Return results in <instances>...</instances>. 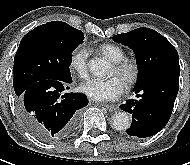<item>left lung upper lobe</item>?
Wrapping results in <instances>:
<instances>
[{
	"label": "left lung upper lobe",
	"instance_id": "obj_1",
	"mask_svg": "<svg viewBox=\"0 0 190 165\" xmlns=\"http://www.w3.org/2000/svg\"><path fill=\"white\" fill-rule=\"evenodd\" d=\"M113 39L134 51L139 67L137 83L161 70H180L176 49L165 37L152 29L138 28L115 35Z\"/></svg>",
	"mask_w": 190,
	"mask_h": 165
}]
</instances>
